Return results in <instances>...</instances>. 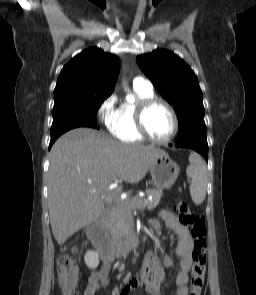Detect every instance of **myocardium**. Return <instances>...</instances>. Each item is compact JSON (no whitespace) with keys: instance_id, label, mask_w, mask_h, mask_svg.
Here are the masks:
<instances>
[{"instance_id":"1","label":"myocardium","mask_w":256,"mask_h":295,"mask_svg":"<svg viewBox=\"0 0 256 295\" xmlns=\"http://www.w3.org/2000/svg\"><path fill=\"white\" fill-rule=\"evenodd\" d=\"M156 104H161L164 107L168 109L170 112L172 119H173V130L172 133L163 139H159L154 137L148 130L147 124H146V114L148 110L153 107ZM135 121H136V127L139 133L147 140L157 143V144H165L170 142L177 134L179 130V120L177 113L173 106L168 103L166 100L159 98V97H151L148 99L141 100L138 102L135 110Z\"/></svg>"}]
</instances>
